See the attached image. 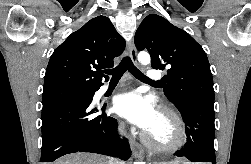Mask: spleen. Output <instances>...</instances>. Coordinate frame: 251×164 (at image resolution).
Instances as JSON below:
<instances>
[{
    "label": "spleen",
    "instance_id": "obj_1",
    "mask_svg": "<svg viewBox=\"0 0 251 164\" xmlns=\"http://www.w3.org/2000/svg\"><path fill=\"white\" fill-rule=\"evenodd\" d=\"M186 164H192V163L186 162Z\"/></svg>",
    "mask_w": 251,
    "mask_h": 164
}]
</instances>
